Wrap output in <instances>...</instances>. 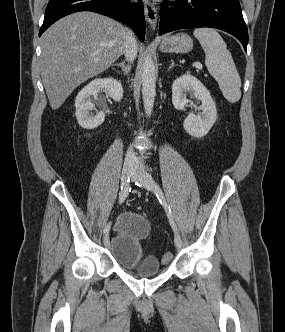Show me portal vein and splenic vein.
I'll return each instance as SVG.
<instances>
[{
  "mask_svg": "<svg viewBox=\"0 0 285 332\" xmlns=\"http://www.w3.org/2000/svg\"><path fill=\"white\" fill-rule=\"evenodd\" d=\"M193 66L196 67V68H198V69H201V68H202V64L199 63V62H195V63H193Z\"/></svg>",
  "mask_w": 285,
  "mask_h": 332,
  "instance_id": "obj_1",
  "label": "portal vein and splenic vein"
}]
</instances>
